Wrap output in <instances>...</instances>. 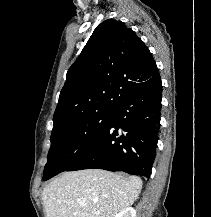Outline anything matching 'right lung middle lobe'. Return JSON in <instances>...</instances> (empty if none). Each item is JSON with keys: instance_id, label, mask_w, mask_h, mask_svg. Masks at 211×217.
I'll list each match as a JSON object with an SVG mask.
<instances>
[{"instance_id": "1", "label": "right lung middle lobe", "mask_w": 211, "mask_h": 217, "mask_svg": "<svg viewBox=\"0 0 211 217\" xmlns=\"http://www.w3.org/2000/svg\"><path fill=\"white\" fill-rule=\"evenodd\" d=\"M113 118L114 110H98L53 127L43 180L66 171L83 157L104 135Z\"/></svg>"}]
</instances>
